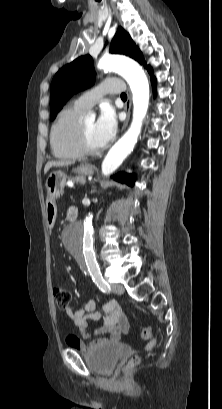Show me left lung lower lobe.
Returning <instances> with one entry per match:
<instances>
[{
    "mask_svg": "<svg viewBox=\"0 0 222 409\" xmlns=\"http://www.w3.org/2000/svg\"><path fill=\"white\" fill-rule=\"evenodd\" d=\"M151 81L153 85V89L155 92V86H156V80L153 76H151ZM113 179L122 182V183H127L128 185H134L135 179L131 175H127L125 173H118L115 176H113Z\"/></svg>",
    "mask_w": 222,
    "mask_h": 409,
    "instance_id": "1",
    "label": "left lung lower lobe"
}]
</instances>
